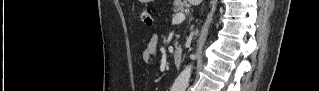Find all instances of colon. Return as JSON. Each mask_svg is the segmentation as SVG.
Wrapping results in <instances>:
<instances>
[{
  "instance_id": "5ec220e1",
  "label": "colon",
  "mask_w": 319,
  "mask_h": 91,
  "mask_svg": "<svg viewBox=\"0 0 319 91\" xmlns=\"http://www.w3.org/2000/svg\"><path fill=\"white\" fill-rule=\"evenodd\" d=\"M139 19L140 21L150 27L153 24V18H152V11L149 8H144L139 13Z\"/></svg>"
}]
</instances>
